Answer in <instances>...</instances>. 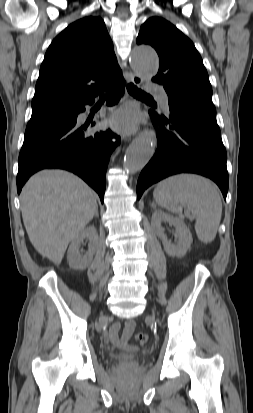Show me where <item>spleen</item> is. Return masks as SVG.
I'll return each instance as SVG.
<instances>
[{"instance_id": "1", "label": "spleen", "mask_w": 253, "mask_h": 413, "mask_svg": "<svg viewBox=\"0 0 253 413\" xmlns=\"http://www.w3.org/2000/svg\"><path fill=\"white\" fill-rule=\"evenodd\" d=\"M153 196L157 204L181 214L183 208L196 216L195 231L203 243L214 240L221 220L222 202L217 186L195 174H179L161 181Z\"/></svg>"}]
</instances>
